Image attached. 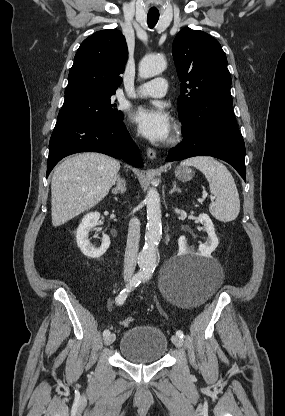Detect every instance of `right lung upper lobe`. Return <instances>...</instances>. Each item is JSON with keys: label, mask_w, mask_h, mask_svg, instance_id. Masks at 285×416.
<instances>
[{"label": "right lung upper lobe", "mask_w": 285, "mask_h": 416, "mask_svg": "<svg viewBox=\"0 0 285 416\" xmlns=\"http://www.w3.org/2000/svg\"><path fill=\"white\" fill-rule=\"evenodd\" d=\"M128 49L117 29L102 30L86 38L69 72L65 96L111 97L120 86Z\"/></svg>", "instance_id": "cb5924a9"}]
</instances>
